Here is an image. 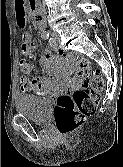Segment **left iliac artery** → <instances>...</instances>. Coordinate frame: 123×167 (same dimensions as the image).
Here are the masks:
<instances>
[{
  "label": "left iliac artery",
  "mask_w": 123,
  "mask_h": 167,
  "mask_svg": "<svg viewBox=\"0 0 123 167\" xmlns=\"http://www.w3.org/2000/svg\"><path fill=\"white\" fill-rule=\"evenodd\" d=\"M49 43H50V45H52L53 44V41H52V39L50 38V40H49Z\"/></svg>",
  "instance_id": "1"
}]
</instances>
